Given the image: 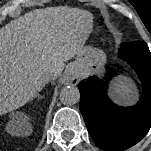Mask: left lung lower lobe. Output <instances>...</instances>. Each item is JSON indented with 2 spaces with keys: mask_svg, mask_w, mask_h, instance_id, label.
Here are the masks:
<instances>
[{
  "mask_svg": "<svg viewBox=\"0 0 151 151\" xmlns=\"http://www.w3.org/2000/svg\"><path fill=\"white\" fill-rule=\"evenodd\" d=\"M119 58L127 61L142 83L140 101L119 107L106 95L101 79L91 76L78 84L80 111L95 144L105 151H122L138 143L151 128V53L144 41L122 43Z\"/></svg>",
  "mask_w": 151,
  "mask_h": 151,
  "instance_id": "obj_1",
  "label": "left lung lower lobe"
}]
</instances>
